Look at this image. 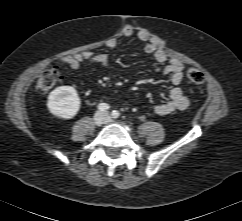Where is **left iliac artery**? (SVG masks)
Here are the masks:
<instances>
[{
    "label": "left iliac artery",
    "instance_id": "obj_1",
    "mask_svg": "<svg viewBox=\"0 0 242 221\" xmlns=\"http://www.w3.org/2000/svg\"><path fill=\"white\" fill-rule=\"evenodd\" d=\"M111 115L113 118H118L120 116V113L118 111L114 110V111H112Z\"/></svg>",
    "mask_w": 242,
    "mask_h": 221
}]
</instances>
